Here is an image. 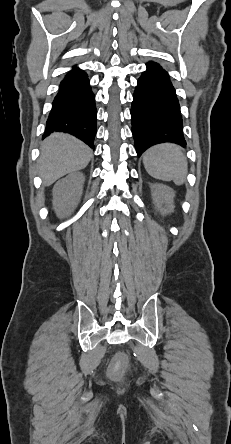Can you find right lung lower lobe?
<instances>
[{"mask_svg":"<svg viewBox=\"0 0 231 444\" xmlns=\"http://www.w3.org/2000/svg\"><path fill=\"white\" fill-rule=\"evenodd\" d=\"M52 105L44 137L55 131L66 132L95 149L96 107L87 74L77 68L71 70Z\"/></svg>","mask_w":231,"mask_h":444,"instance_id":"obj_1","label":"right lung lower lobe"}]
</instances>
